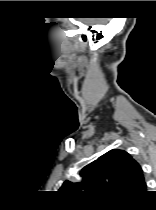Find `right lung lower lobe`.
<instances>
[{"mask_svg": "<svg viewBox=\"0 0 156 210\" xmlns=\"http://www.w3.org/2000/svg\"><path fill=\"white\" fill-rule=\"evenodd\" d=\"M145 194V193H144ZM144 194H142L141 196H139V197H136V198H134V199H132L131 201H136V200H139Z\"/></svg>", "mask_w": 156, "mask_h": 210, "instance_id": "98d812e1", "label": "right lung lower lobe"}]
</instances>
